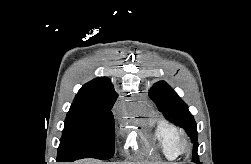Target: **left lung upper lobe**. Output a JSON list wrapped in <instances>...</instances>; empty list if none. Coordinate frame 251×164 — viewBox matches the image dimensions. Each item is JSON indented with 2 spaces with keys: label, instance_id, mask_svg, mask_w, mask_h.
<instances>
[{
  "label": "left lung upper lobe",
  "instance_id": "1",
  "mask_svg": "<svg viewBox=\"0 0 251 164\" xmlns=\"http://www.w3.org/2000/svg\"><path fill=\"white\" fill-rule=\"evenodd\" d=\"M149 96L156 103L163 115L178 122L195 143L193 151V162L201 164L197 155V128L193 115L189 112L188 106L164 81L156 83L150 90Z\"/></svg>",
  "mask_w": 251,
  "mask_h": 164
}]
</instances>
